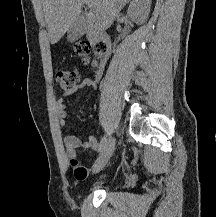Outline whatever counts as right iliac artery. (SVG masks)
<instances>
[{
    "label": "right iliac artery",
    "instance_id": "obj_1",
    "mask_svg": "<svg viewBox=\"0 0 216 217\" xmlns=\"http://www.w3.org/2000/svg\"><path fill=\"white\" fill-rule=\"evenodd\" d=\"M106 144H107V138L104 136L100 141V149H99L100 152L105 148Z\"/></svg>",
    "mask_w": 216,
    "mask_h": 217
}]
</instances>
